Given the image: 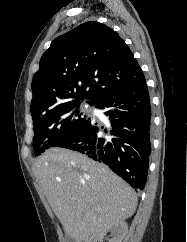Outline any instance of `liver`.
Returning a JSON list of instances; mask_svg holds the SVG:
<instances>
[{"label":"liver","instance_id":"1","mask_svg":"<svg viewBox=\"0 0 187 242\" xmlns=\"http://www.w3.org/2000/svg\"><path fill=\"white\" fill-rule=\"evenodd\" d=\"M34 176L68 237L84 242L131 217L135 191L107 166L85 155L52 148L33 166Z\"/></svg>","mask_w":187,"mask_h":242}]
</instances>
